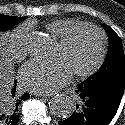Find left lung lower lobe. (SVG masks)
Returning a JSON list of instances; mask_svg holds the SVG:
<instances>
[{
  "instance_id": "obj_1",
  "label": "left lung lower lobe",
  "mask_w": 125,
  "mask_h": 125,
  "mask_svg": "<svg viewBox=\"0 0 125 125\" xmlns=\"http://www.w3.org/2000/svg\"><path fill=\"white\" fill-rule=\"evenodd\" d=\"M125 88V80H117L87 88L82 83L76 111L59 125H108L115 116Z\"/></svg>"
}]
</instances>
